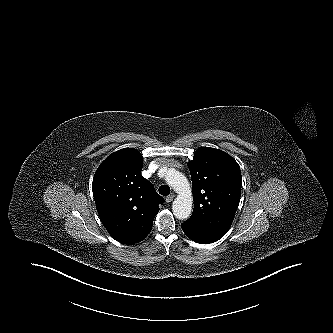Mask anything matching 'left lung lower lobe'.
Instances as JSON below:
<instances>
[{
  "mask_svg": "<svg viewBox=\"0 0 333 333\" xmlns=\"http://www.w3.org/2000/svg\"><path fill=\"white\" fill-rule=\"evenodd\" d=\"M182 230L184 231V233L193 241L197 242V243H201V244H209V243H213L216 242L217 240H219L220 238L203 232L197 228H194L186 223H182L181 224Z\"/></svg>",
  "mask_w": 333,
  "mask_h": 333,
  "instance_id": "0a47b994",
  "label": "left lung lower lobe"
}]
</instances>
